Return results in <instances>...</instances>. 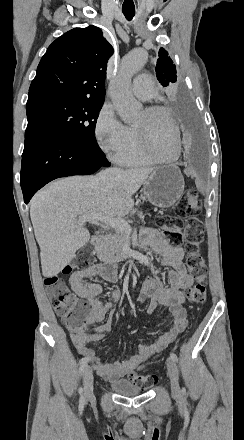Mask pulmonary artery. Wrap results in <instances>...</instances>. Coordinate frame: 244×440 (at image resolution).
Here are the masks:
<instances>
[{
  "label": "pulmonary artery",
  "mask_w": 244,
  "mask_h": 440,
  "mask_svg": "<svg viewBox=\"0 0 244 440\" xmlns=\"http://www.w3.org/2000/svg\"><path fill=\"white\" fill-rule=\"evenodd\" d=\"M133 81L136 84L134 95L139 100L147 102L150 99H156L157 92L154 90V83L150 82L147 70H140L139 75H134Z\"/></svg>",
  "instance_id": "obj_1"
}]
</instances>
